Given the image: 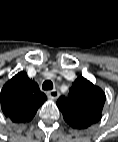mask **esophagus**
<instances>
[{
    "mask_svg": "<svg viewBox=\"0 0 118 142\" xmlns=\"http://www.w3.org/2000/svg\"><path fill=\"white\" fill-rule=\"evenodd\" d=\"M47 95H48L49 98L55 100V99H57L59 97V92H58V90L53 89V90L48 91Z\"/></svg>",
    "mask_w": 118,
    "mask_h": 142,
    "instance_id": "obj_1",
    "label": "esophagus"
}]
</instances>
